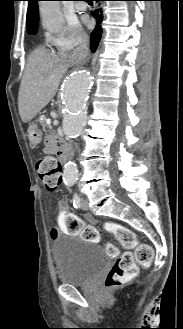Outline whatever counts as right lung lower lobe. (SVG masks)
<instances>
[{"mask_svg":"<svg viewBox=\"0 0 183 329\" xmlns=\"http://www.w3.org/2000/svg\"><path fill=\"white\" fill-rule=\"evenodd\" d=\"M96 2L104 1V0H94ZM92 15L94 16L96 20V27L91 33V51L94 53L97 49V46L99 44V41L101 39L102 35V21H103V12L101 9L95 10L92 12Z\"/></svg>","mask_w":183,"mask_h":329,"instance_id":"98d812e1","label":"right lung lower lobe"}]
</instances>
